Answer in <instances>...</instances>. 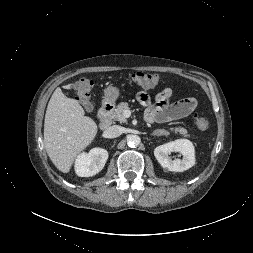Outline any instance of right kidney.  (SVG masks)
Masks as SVG:
<instances>
[{"instance_id":"obj_1","label":"right kidney","mask_w":253,"mask_h":253,"mask_svg":"<svg viewBox=\"0 0 253 253\" xmlns=\"http://www.w3.org/2000/svg\"><path fill=\"white\" fill-rule=\"evenodd\" d=\"M108 159V152L103 148H93L89 153H82L75 161V172L80 177H90L100 172Z\"/></svg>"}]
</instances>
